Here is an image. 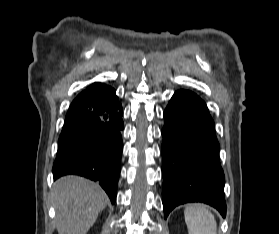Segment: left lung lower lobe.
Here are the masks:
<instances>
[{"instance_id":"0a47b994","label":"left lung lower lobe","mask_w":279,"mask_h":234,"mask_svg":"<svg viewBox=\"0 0 279 234\" xmlns=\"http://www.w3.org/2000/svg\"><path fill=\"white\" fill-rule=\"evenodd\" d=\"M163 208L165 218L183 203L204 202L226 215L219 143L206 104L193 92H175L164 111Z\"/></svg>"}]
</instances>
